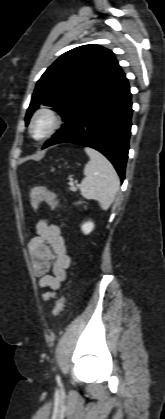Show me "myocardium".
<instances>
[{
    "mask_svg": "<svg viewBox=\"0 0 165 419\" xmlns=\"http://www.w3.org/2000/svg\"><path fill=\"white\" fill-rule=\"evenodd\" d=\"M42 118H45L48 121V126L43 133L37 135L34 132V125L39 119H42ZM60 125H61V117L59 113L53 107L41 106L31 116L29 125H28V130L31 137L34 140L42 141L52 136L58 130Z\"/></svg>",
    "mask_w": 165,
    "mask_h": 419,
    "instance_id": "myocardium-1",
    "label": "myocardium"
}]
</instances>
